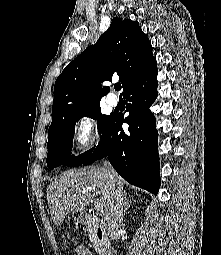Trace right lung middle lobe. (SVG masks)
I'll return each mask as SVG.
<instances>
[{
  "label": "right lung middle lobe",
  "mask_w": 221,
  "mask_h": 255,
  "mask_svg": "<svg viewBox=\"0 0 221 255\" xmlns=\"http://www.w3.org/2000/svg\"><path fill=\"white\" fill-rule=\"evenodd\" d=\"M83 116L97 120L99 133L104 132L112 118V115L107 116L101 114L99 102L66 115L53 131L48 132L47 165L50 169H54L61 164L71 167L78 166L82 164L94 150V148H92L78 157L71 156L75 124Z\"/></svg>",
  "instance_id": "right-lung-middle-lobe-1"
}]
</instances>
